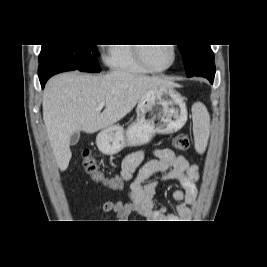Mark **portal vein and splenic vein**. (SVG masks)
<instances>
[{
    "instance_id": "obj_1",
    "label": "portal vein and splenic vein",
    "mask_w": 267,
    "mask_h": 267,
    "mask_svg": "<svg viewBox=\"0 0 267 267\" xmlns=\"http://www.w3.org/2000/svg\"><path fill=\"white\" fill-rule=\"evenodd\" d=\"M105 106V102H101L98 104L99 109L103 108Z\"/></svg>"
}]
</instances>
